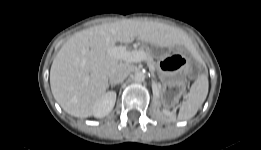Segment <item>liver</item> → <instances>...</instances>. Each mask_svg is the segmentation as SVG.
<instances>
[{"instance_id":"liver-1","label":"liver","mask_w":261,"mask_h":150,"mask_svg":"<svg viewBox=\"0 0 261 150\" xmlns=\"http://www.w3.org/2000/svg\"><path fill=\"white\" fill-rule=\"evenodd\" d=\"M134 39L157 47L190 43L188 35L176 27L132 19L75 33L61 47L50 70L51 91L62 109L75 117L92 116L108 87L110 69L122 63L107 53L108 48Z\"/></svg>"}]
</instances>
